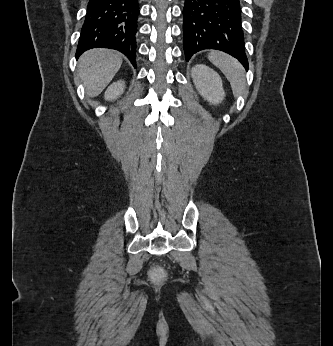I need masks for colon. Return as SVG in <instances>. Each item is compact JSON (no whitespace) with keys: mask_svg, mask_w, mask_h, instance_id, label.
<instances>
[{"mask_svg":"<svg viewBox=\"0 0 333 346\" xmlns=\"http://www.w3.org/2000/svg\"><path fill=\"white\" fill-rule=\"evenodd\" d=\"M149 276L154 283H163L164 280H168V273H165V269H161L160 265H157L156 269H149Z\"/></svg>","mask_w":333,"mask_h":346,"instance_id":"obj_1","label":"colon"}]
</instances>
